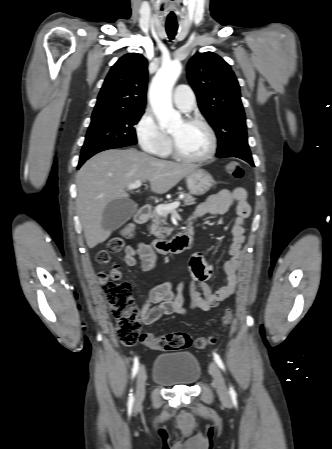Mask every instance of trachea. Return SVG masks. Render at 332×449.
Returning a JSON list of instances; mask_svg holds the SVG:
<instances>
[{
    "instance_id": "3493384b",
    "label": "trachea",
    "mask_w": 332,
    "mask_h": 449,
    "mask_svg": "<svg viewBox=\"0 0 332 449\" xmlns=\"http://www.w3.org/2000/svg\"><path fill=\"white\" fill-rule=\"evenodd\" d=\"M177 26H166V31L170 40H173L177 33Z\"/></svg>"
}]
</instances>
